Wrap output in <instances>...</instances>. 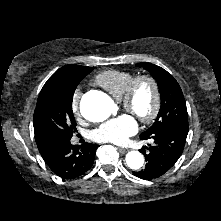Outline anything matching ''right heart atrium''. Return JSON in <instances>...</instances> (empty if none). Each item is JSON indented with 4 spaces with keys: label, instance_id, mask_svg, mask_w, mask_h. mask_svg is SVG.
Wrapping results in <instances>:
<instances>
[{
    "label": "right heart atrium",
    "instance_id": "1",
    "mask_svg": "<svg viewBox=\"0 0 221 221\" xmlns=\"http://www.w3.org/2000/svg\"><path fill=\"white\" fill-rule=\"evenodd\" d=\"M80 98H81V91L80 89H76L71 97V110L74 114H80Z\"/></svg>",
    "mask_w": 221,
    "mask_h": 221
}]
</instances>
